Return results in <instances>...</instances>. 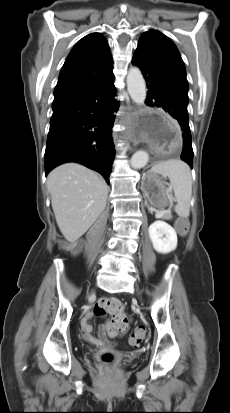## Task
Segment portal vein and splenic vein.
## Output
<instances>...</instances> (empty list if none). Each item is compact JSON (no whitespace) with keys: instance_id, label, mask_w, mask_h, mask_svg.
Instances as JSON below:
<instances>
[{"instance_id":"1","label":"portal vein and splenic vein","mask_w":230,"mask_h":413,"mask_svg":"<svg viewBox=\"0 0 230 413\" xmlns=\"http://www.w3.org/2000/svg\"><path fill=\"white\" fill-rule=\"evenodd\" d=\"M165 212H161V214L158 216V217H160L161 215H163Z\"/></svg>"}]
</instances>
